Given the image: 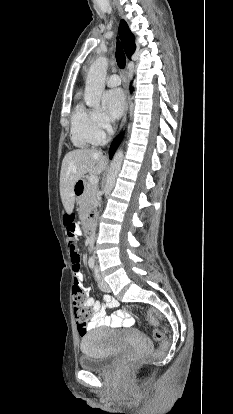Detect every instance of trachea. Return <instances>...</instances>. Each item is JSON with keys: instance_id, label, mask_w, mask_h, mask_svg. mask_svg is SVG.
Here are the masks:
<instances>
[{"instance_id": "obj_1", "label": "trachea", "mask_w": 233, "mask_h": 414, "mask_svg": "<svg viewBox=\"0 0 233 414\" xmlns=\"http://www.w3.org/2000/svg\"><path fill=\"white\" fill-rule=\"evenodd\" d=\"M116 61H117V65L119 66V68L121 69L125 68L126 57L119 42L117 43V47H116Z\"/></svg>"}]
</instances>
